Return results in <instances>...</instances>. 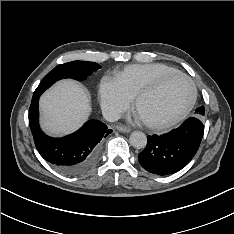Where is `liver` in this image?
Listing matches in <instances>:
<instances>
[{
    "label": "liver",
    "instance_id": "obj_1",
    "mask_svg": "<svg viewBox=\"0 0 234 234\" xmlns=\"http://www.w3.org/2000/svg\"><path fill=\"white\" fill-rule=\"evenodd\" d=\"M41 126L45 132L60 136L76 131L89 117V94L78 83L62 80L40 98Z\"/></svg>",
    "mask_w": 234,
    "mask_h": 234
}]
</instances>
